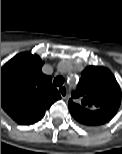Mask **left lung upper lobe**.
<instances>
[{"label": "left lung upper lobe", "instance_id": "5c2ea615", "mask_svg": "<svg viewBox=\"0 0 122 154\" xmlns=\"http://www.w3.org/2000/svg\"><path fill=\"white\" fill-rule=\"evenodd\" d=\"M120 102L121 89L113 74L105 67L89 66L68 105L79 123L90 126L93 119L102 117L103 110L117 111Z\"/></svg>", "mask_w": 122, "mask_h": 154}]
</instances>
